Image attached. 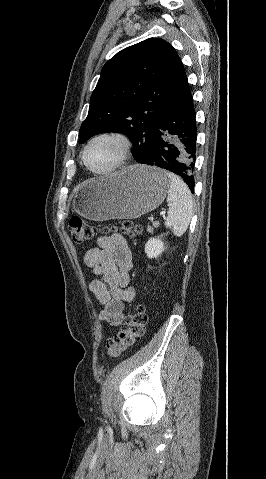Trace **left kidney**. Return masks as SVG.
<instances>
[{"mask_svg":"<svg viewBox=\"0 0 266 479\" xmlns=\"http://www.w3.org/2000/svg\"><path fill=\"white\" fill-rule=\"evenodd\" d=\"M164 249V242L160 238H150L145 244V253L150 259L159 257Z\"/></svg>","mask_w":266,"mask_h":479,"instance_id":"left-kidney-1","label":"left kidney"}]
</instances>
